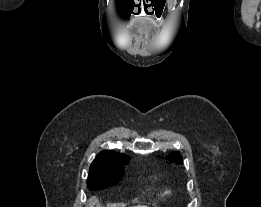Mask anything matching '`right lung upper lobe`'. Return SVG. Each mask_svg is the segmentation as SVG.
Returning <instances> with one entry per match:
<instances>
[{"label": "right lung upper lobe", "mask_w": 261, "mask_h": 207, "mask_svg": "<svg viewBox=\"0 0 261 207\" xmlns=\"http://www.w3.org/2000/svg\"><path fill=\"white\" fill-rule=\"evenodd\" d=\"M128 159L122 154H118L114 151H103L92 162L91 167H108L120 163L121 161Z\"/></svg>", "instance_id": "obj_1"}]
</instances>
